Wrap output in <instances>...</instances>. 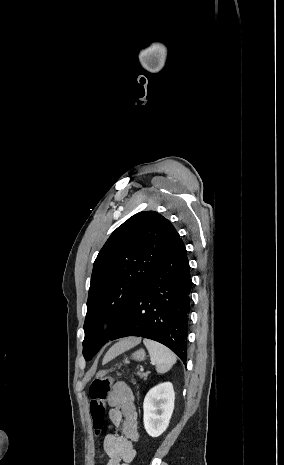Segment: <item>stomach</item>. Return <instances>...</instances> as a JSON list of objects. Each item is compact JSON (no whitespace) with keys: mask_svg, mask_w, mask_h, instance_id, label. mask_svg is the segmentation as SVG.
I'll return each mask as SVG.
<instances>
[{"mask_svg":"<svg viewBox=\"0 0 284 465\" xmlns=\"http://www.w3.org/2000/svg\"><path fill=\"white\" fill-rule=\"evenodd\" d=\"M145 357L146 355L143 349H139V351H135V353H132L133 361H144ZM127 363H129V361H127ZM106 373H108V371H99V373H97V377H104Z\"/></svg>","mask_w":284,"mask_h":465,"instance_id":"obj_1","label":"stomach"}]
</instances>
